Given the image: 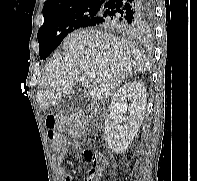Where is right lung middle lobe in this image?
<instances>
[{
  "label": "right lung middle lobe",
  "mask_w": 197,
  "mask_h": 181,
  "mask_svg": "<svg viewBox=\"0 0 197 181\" xmlns=\"http://www.w3.org/2000/svg\"><path fill=\"white\" fill-rule=\"evenodd\" d=\"M103 11V5H87L44 17L37 35L40 59L45 60L69 33L86 27L89 20L100 16Z\"/></svg>",
  "instance_id": "obj_1"
}]
</instances>
